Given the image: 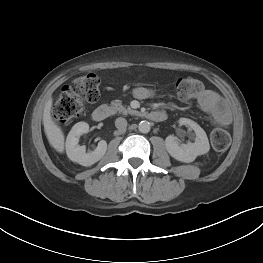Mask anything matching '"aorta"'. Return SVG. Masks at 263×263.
Here are the masks:
<instances>
[{"mask_svg": "<svg viewBox=\"0 0 263 263\" xmlns=\"http://www.w3.org/2000/svg\"><path fill=\"white\" fill-rule=\"evenodd\" d=\"M138 129L141 133H148L151 129L150 123L148 121H141L138 125Z\"/></svg>", "mask_w": 263, "mask_h": 263, "instance_id": "aorta-1", "label": "aorta"}]
</instances>
